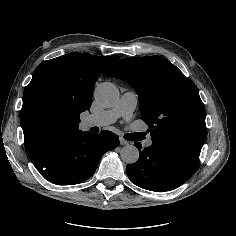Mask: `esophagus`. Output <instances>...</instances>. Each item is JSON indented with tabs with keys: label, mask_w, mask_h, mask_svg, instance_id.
Returning a JSON list of instances; mask_svg holds the SVG:
<instances>
[{
	"label": "esophagus",
	"mask_w": 236,
	"mask_h": 236,
	"mask_svg": "<svg viewBox=\"0 0 236 236\" xmlns=\"http://www.w3.org/2000/svg\"><path fill=\"white\" fill-rule=\"evenodd\" d=\"M119 141H120L121 145H126L127 144V141L123 138H119Z\"/></svg>",
	"instance_id": "esophagus-1"
}]
</instances>
